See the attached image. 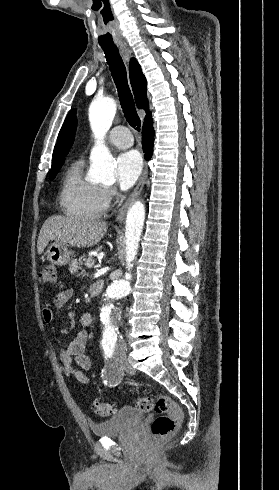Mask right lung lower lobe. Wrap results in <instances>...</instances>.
<instances>
[{"instance_id":"1","label":"right lung lower lobe","mask_w":279,"mask_h":490,"mask_svg":"<svg viewBox=\"0 0 279 490\" xmlns=\"http://www.w3.org/2000/svg\"><path fill=\"white\" fill-rule=\"evenodd\" d=\"M154 129L152 125H147L142 130V146L143 151L146 154L145 158L149 160L152 156L153 152V143H154Z\"/></svg>"}]
</instances>
